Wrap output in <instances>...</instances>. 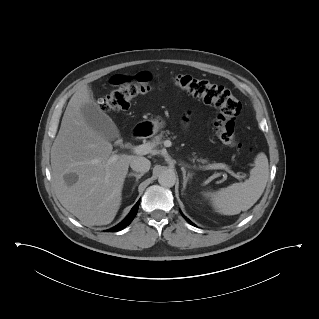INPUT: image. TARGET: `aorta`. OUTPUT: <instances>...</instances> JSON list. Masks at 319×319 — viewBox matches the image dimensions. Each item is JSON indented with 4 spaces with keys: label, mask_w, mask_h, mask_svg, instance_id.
Instances as JSON below:
<instances>
[{
    "label": "aorta",
    "mask_w": 319,
    "mask_h": 319,
    "mask_svg": "<svg viewBox=\"0 0 319 319\" xmlns=\"http://www.w3.org/2000/svg\"><path fill=\"white\" fill-rule=\"evenodd\" d=\"M158 182L164 187H173L176 182V175L172 170H164L158 177Z\"/></svg>",
    "instance_id": "762f6f07"
}]
</instances>
